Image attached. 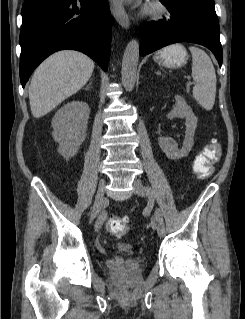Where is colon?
Segmentation results:
<instances>
[{
    "label": "colon",
    "mask_w": 245,
    "mask_h": 319,
    "mask_svg": "<svg viewBox=\"0 0 245 319\" xmlns=\"http://www.w3.org/2000/svg\"><path fill=\"white\" fill-rule=\"evenodd\" d=\"M221 156V146L212 142L205 146L203 151L196 157L193 164L194 173L200 178H207L213 173L214 164ZM108 230L120 237L129 229V219L126 216L111 217L107 223ZM129 289L128 292H131Z\"/></svg>",
    "instance_id": "5ec220e1"
}]
</instances>
